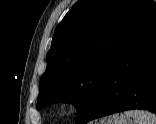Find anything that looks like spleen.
<instances>
[{
  "label": "spleen",
  "instance_id": "obj_1",
  "mask_svg": "<svg viewBox=\"0 0 156 124\" xmlns=\"http://www.w3.org/2000/svg\"><path fill=\"white\" fill-rule=\"evenodd\" d=\"M126 117H132L134 124H156V115L143 110H130L125 112Z\"/></svg>",
  "mask_w": 156,
  "mask_h": 124
}]
</instances>
